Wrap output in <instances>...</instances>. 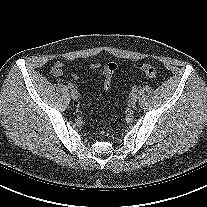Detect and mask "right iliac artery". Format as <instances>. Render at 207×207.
Instances as JSON below:
<instances>
[{"instance_id":"1","label":"right iliac artery","mask_w":207,"mask_h":207,"mask_svg":"<svg viewBox=\"0 0 207 207\" xmlns=\"http://www.w3.org/2000/svg\"><path fill=\"white\" fill-rule=\"evenodd\" d=\"M68 88H69V89H72V88H73V85H72L71 83H69V84H68Z\"/></svg>"}]
</instances>
